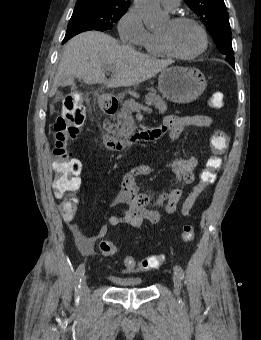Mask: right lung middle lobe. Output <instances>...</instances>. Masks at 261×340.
Wrapping results in <instances>:
<instances>
[{"label": "right lung middle lobe", "mask_w": 261, "mask_h": 340, "mask_svg": "<svg viewBox=\"0 0 261 340\" xmlns=\"http://www.w3.org/2000/svg\"><path fill=\"white\" fill-rule=\"evenodd\" d=\"M128 5L77 3L68 28L83 26L98 31L111 29L127 11Z\"/></svg>", "instance_id": "obj_1"}]
</instances>
